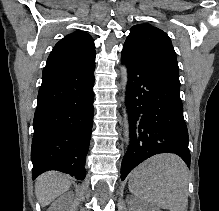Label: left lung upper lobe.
I'll return each mask as SVG.
<instances>
[{
	"label": "left lung upper lobe",
	"mask_w": 219,
	"mask_h": 211,
	"mask_svg": "<svg viewBox=\"0 0 219 211\" xmlns=\"http://www.w3.org/2000/svg\"><path fill=\"white\" fill-rule=\"evenodd\" d=\"M122 54L180 86L176 53L170 38L162 30L149 24L134 25Z\"/></svg>",
	"instance_id": "obj_1"
}]
</instances>
